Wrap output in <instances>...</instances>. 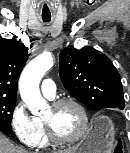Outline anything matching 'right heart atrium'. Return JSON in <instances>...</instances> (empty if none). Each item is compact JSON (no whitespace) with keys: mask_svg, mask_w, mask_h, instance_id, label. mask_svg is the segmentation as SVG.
Here are the masks:
<instances>
[{"mask_svg":"<svg viewBox=\"0 0 130 153\" xmlns=\"http://www.w3.org/2000/svg\"><path fill=\"white\" fill-rule=\"evenodd\" d=\"M10 124L19 142L27 146H35L38 133L34 118L29 115L22 101H18L14 105L10 115Z\"/></svg>","mask_w":130,"mask_h":153,"instance_id":"right-heart-atrium-1","label":"right heart atrium"}]
</instances>
